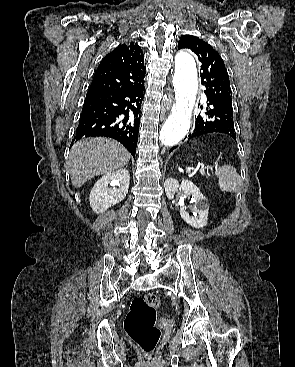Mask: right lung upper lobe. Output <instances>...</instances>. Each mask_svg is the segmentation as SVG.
<instances>
[{
    "label": "right lung upper lobe",
    "mask_w": 295,
    "mask_h": 367,
    "mask_svg": "<svg viewBox=\"0 0 295 367\" xmlns=\"http://www.w3.org/2000/svg\"><path fill=\"white\" fill-rule=\"evenodd\" d=\"M146 67L141 48L119 45L98 66L89 90H125L144 85Z\"/></svg>",
    "instance_id": "1"
}]
</instances>
